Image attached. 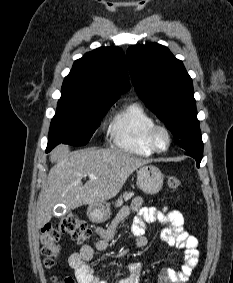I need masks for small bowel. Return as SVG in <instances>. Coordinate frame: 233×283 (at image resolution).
<instances>
[{
  "label": "small bowel",
  "instance_id": "small-bowel-1",
  "mask_svg": "<svg viewBox=\"0 0 233 283\" xmlns=\"http://www.w3.org/2000/svg\"><path fill=\"white\" fill-rule=\"evenodd\" d=\"M143 198L136 197L130 206L121 210L114 223L107 229L96 230L99 240L95 243L98 251H105L115 235L116 226L132 213H137L130 231L135 237V247L143 248L147 245L145 236L146 225L159 222L164 226L161 239L168 245L184 250V263L180 270L163 268L159 274L158 283H186L199 262L198 239L190 235L184 226L183 214L178 210H169L167 207L157 209L144 207ZM94 259V249L90 245H83L79 251L69 256L68 263L73 269L78 283H108V276L104 279L98 277L91 266ZM141 265L132 263L128 266V275L118 283H140Z\"/></svg>",
  "mask_w": 233,
  "mask_h": 283
}]
</instances>
